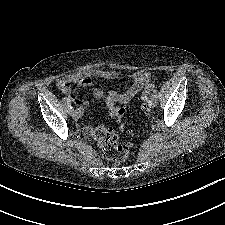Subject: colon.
Wrapping results in <instances>:
<instances>
[{"mask_svg":"<svg viewBox=\"0 0 225 225\" xmlns=\"http://www.w3.org/2000/svg\"><path fill=\"white\" fill-rule=\"evenodd\" d=\"M155 85L151 84L144 88L141 93V105L145 113L148 112V101L150 94L154 91ZM109 116L122 126V118L125 109L112 106L108 110ZM129 132V131H128ZM94 140L98 143L105 158L112 162H121L127 160L132 155V147L129 143H123L119 137L113 133L110 127L99 125L92 131Z\"/></svg>","mask_w":225,"mask_h":225,"instance_id":"5ec220e1","label":"colon"}]
</instances>
